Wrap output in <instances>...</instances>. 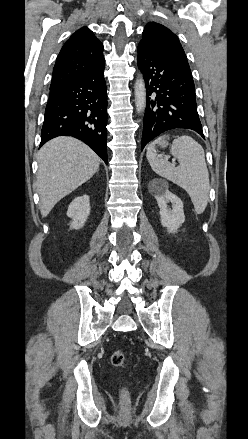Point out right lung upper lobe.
I'll return each mask as SVG.
<instances>
[{
  "label": "right lung upper lobe",
  "instance_id": "right-lung-upper-lobe-1",
  "mask_svg": "<svg viewBox=\"0 0 248 439\" xmlns=\"http://www.w3.org/2000/svg\"><path fill=\"white\" fill-rule=\"evenodd\" d=\"M103 45L92 31L83 27L62 47L52 75L50 89L65 84L105 63Z\"/></svg>",
  "mask_w": 248,
  "mask_h": 439
}]
</instances>
